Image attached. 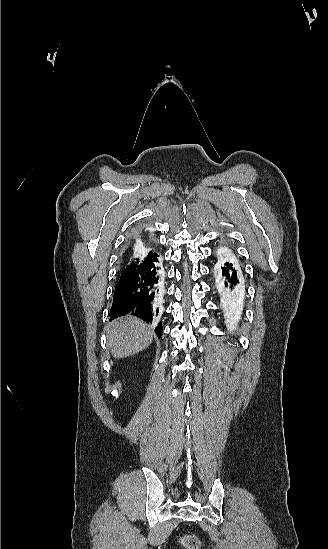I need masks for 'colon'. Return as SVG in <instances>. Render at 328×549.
I'll list each match as a JSON object with an SVG mask.
<instances>
[{"mask_svg":"<svg viewBox=\"0 0 328 549\" xmlns=\"http://www.w3.org/2000/svg\"><path fill=\"white\" fill-rule=\"evenodd\" d=\"M182 543L188 548H196L198 546V540L194 536L184 537Z\"/></svg>","mask_w":328,"mask_h":549,"instance_id":"obj_1","label":"colon"}]
</instances>
